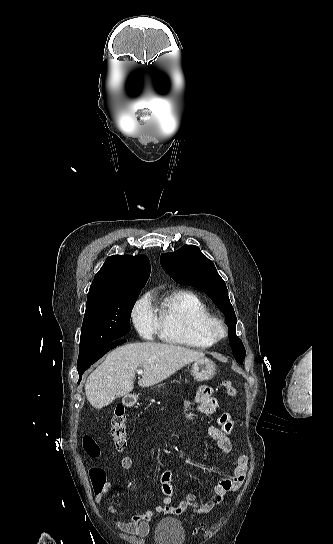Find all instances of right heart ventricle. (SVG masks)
I'll list each match as a JSON object with an SVG mask.
<instances>
[{
	"label": "right heart ventricle",
	"instance_id": "1",
	"mask_svg": "<svg viewBox=\"0 0 333 544\" xmlns=\"http://www.w3.org/2000/svg\"><path fill=\"white\" fill-rule=\"evenodd\" d=\"M212 316L206 302L195 292L176 290L166 295L158 310L160 337L168 342L205 349L215 343L205 334V324Z\"/></svg>",
	"mask_w": 333,
	"mask_h": 544
}]
</instances>
